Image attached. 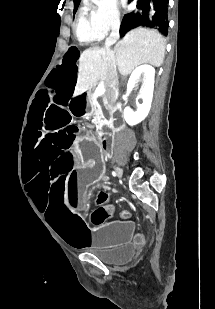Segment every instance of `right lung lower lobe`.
<instances>
[{
    "label": "right lung lower lobe",
    "instance_id": "98d812e1",
    "mask_svg": "<svg viewBox=\"0 0 215 309\" xmlns=\"http://www.w3.org/2000/svg\"><path fill=\"white\" fill-rule=\"evenodd\" d=\"M131 1V0H130ZM168 1L169 0H138V10L124 16L120 27L121 35L143 25L156 28L164 35L168 33Z\"/></svg>",
    "mask_w": 215,
    "mask_h": 309
}]
</instances>
